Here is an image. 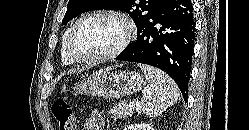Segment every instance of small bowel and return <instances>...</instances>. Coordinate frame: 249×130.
Returning <instances> with one entry per match:
<instances>
[{
    "label": "small bowel",
    "instance_id": "1",
    "mask_svg": "<svg viewBox=\"0 0 249 130\" xmlns=\"http://www.w3.org/2000/svg\"><path fill=\"white\" fill-rule=\"evenodd\" d=\"M84 130H104L105 120L98 110H93L89 117L85 120Z\"/></svg>",
    "mask_w": 249,
    "mask_h": 130
}]
</instances>
